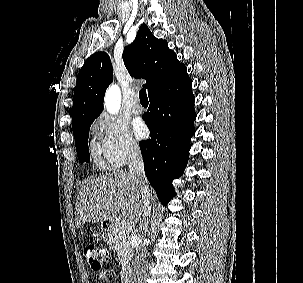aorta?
Segmentation results:
<instances>
[{
    "mask_svg": "<svg viewBox=\"0 0 303 283\" xmlns=\"http://www.w3.org/2000/svg\"><path fill=\"white\" fill-rule=\"evenodd\" d=\"M121 103V92L117 85H111L105 94V107L111 114L118 112Z\"/></svg>",
    "mask_w": 303,
    "mask_h": 283,
    "instance_id": "obj_1",
    "label": "aorta"
}]
</instances>
